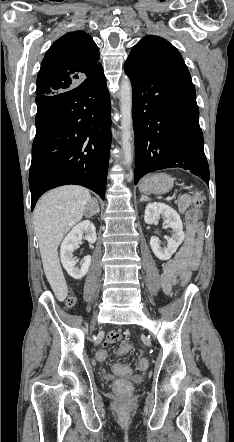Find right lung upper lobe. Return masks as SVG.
<instances>
[{
    "label": "right lung upper lobe",
    "instance_id": "1",
    "mask_svg": "<svg viewBox=\"0 0 234 442\" xmlns=\"http://www.w3.org/2000/svg\"><path fill=\"white\" fill-rule=\"evenodd\" d=\"M99 49L84 31L69 32L56 40L42 61L37 76V95L68 91L78 81L103 71Z\"/></svg>",
    "mask_w": 234,
    "mask_h": 442
}]
</instances>
